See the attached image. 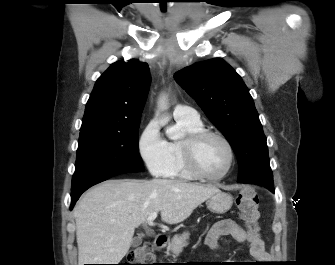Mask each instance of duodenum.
Segmentation results:
<instances>
[{"instance_id": "obj_1", "label": "duodenum", "mask_w": 335, "mask_h": 265, "mask_svg": "<svg viewBox=\"0 0 335 265\" xmlns=\"http://www.w3.org/2000/svg\"><path fill=\"white\" fill-rule=\"evenodd\" d=\"M167 244V236L163 234H159L155 237L153 241V247L155 250L163 249Z\"/></svg>"}]
</instances>
